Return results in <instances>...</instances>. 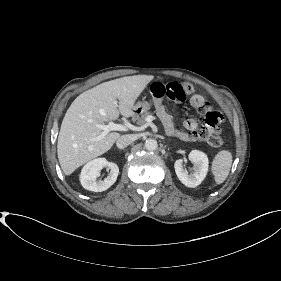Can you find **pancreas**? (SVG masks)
<instances>
[{"label": "pancreas", "mask_w": 281, "mask_h": 281, "mask_svg": "<svg viewBox=\"0 0 281 281\" xmlns=\"http://www.w3.org/2000/svg\"><path fill=\"white\" fill-rule=\"evenodd\" d=\"M150 113L149 112H145L143 114H141L140 116H137L134 120L136 121V123L139 125V126H146V117L149 115Z\"/></svg>", "instance_id": "cf45deb5"}]
</instances>
